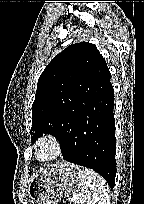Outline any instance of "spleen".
<instances>
[{"instance_id":"obj_1","label":"spleen","mask_w":144,"mask_h":204,"mask_svg":"<svg viewBox=\"0 0 144 204\" xmlns=\"http://www.w3.org/2000/svg\"><path fill=\"white\" fill-rule=\"evenodd\" d=\"M80 192L77 196L68 197L74 204H110L109 186L105 179L91 169H82Z\"/></svg>"}]
</instances>
